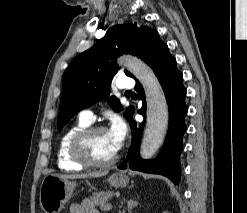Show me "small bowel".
I'll return each mask as SVG.
<instances>
[{
	"label": "small bowel",
	"mask_w": 247,
	"mask_h": 213,
	"mask_svg": "<svg viewBox=\"0 0 247 213\" xmlns=\"http://www.w3.org/2000/svg\"><path fill=\"white\" fill-rule=\"evenodd\" d=\"M70 213H98V211L91 200L85 199L80 203L71 204Z\"/></svg>",
	"instance_id": "c3829d8e"
}]
</instances>
